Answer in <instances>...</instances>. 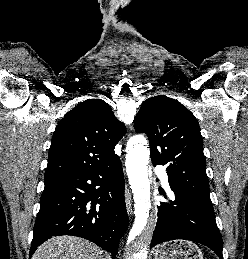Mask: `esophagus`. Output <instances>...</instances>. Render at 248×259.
<instances>
[{"mask_svg":"<svg viewBox=\"0 0 248 259\" xmlns=\"http://www.w3.org/2000/svg\"><path fill=\"white\" fill-rule=\"evenodd\" d=\"M125 203H126V209H127V212L129 215L132 214L133 212V209H132V200H131V194H130V191H129V188L125 187Z\"/></svg>","mask_w":248,"mask_h":259,"instance_id":"1","label":"esophagus"}]
</instances>
